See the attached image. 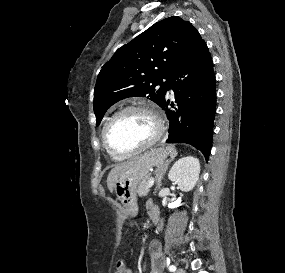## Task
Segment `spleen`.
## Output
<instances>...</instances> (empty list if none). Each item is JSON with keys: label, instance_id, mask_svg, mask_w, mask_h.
<instances>
[{"label": "spleen", "instance_id": "3e777b00", "mask_svg": "<svg viewBox=\"0 0 285 273\" xmlns=\"http://www.w3.org/2000/svg\"><path fill=\"white\" fill-rule=\"evenodd\" d=\"M168 152L171 154L172 157H175L177 152L173 147H167Z\"/></svg>", "mask_w": 285, "mask_h": 273}]
</instances>
